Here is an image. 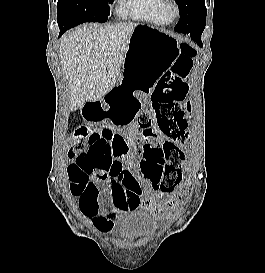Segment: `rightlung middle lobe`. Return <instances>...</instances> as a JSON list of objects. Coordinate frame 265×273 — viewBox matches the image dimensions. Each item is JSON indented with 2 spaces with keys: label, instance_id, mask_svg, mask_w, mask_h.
<instances>
[{
  "label": "right lung middle lobe",
  "instance_id": "dd1d6c3e",
  "mask_svg": "<svg viewBox=\"0 0 265 273\" xmlns=\"http://www.w3.org/2000/svg\"><path fill=\"white\" fill-rule=\"evenodd\" d=\"M113 0H58L57 22L66 31L84 22H106Z\"/></svg>",
  "mask_w": 265,
  "mask_h": 273
}]
</instances>
